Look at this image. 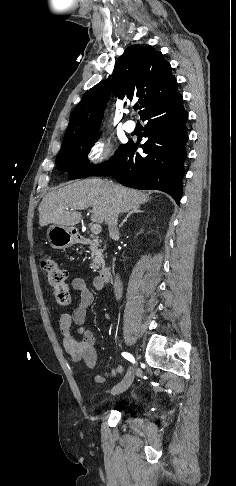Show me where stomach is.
<instances>
[{"instance_id": "stomach-1", "label": "stomach", "mask_w": 236, "mask_h": 486, "mask_svg": "<svg viewBox=\"0 0 236 486\" xmlns=\"http://www.w3.org/2000/svg\"><path fill=\"white\" fill-rule=\"evenodd\" d=\"M47 238L55 249H66L78 242L76 230L64 225H51L47 230Z\"/></svg>"}]
</instances>
